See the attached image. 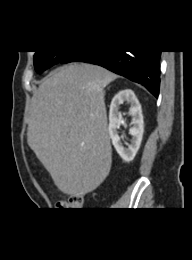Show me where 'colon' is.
Returning <instances> with one entry per match:
<instances>
[{"label": "colon", "instance_id": "colon-1", "mask_svg": "<svg viewBox=\"0 0 192 260\" xmlns=\"http://www.w3.org/2000/svg\"><path fill=\"white\" fill-rule=\"evenodd\" d=\"M83 204V197L80 195L70 196L68 200L57 203V208L60 210H74L78 209Z\"/></svg>", "mask_w": 192, "mask_h": 260}]
</instances>
